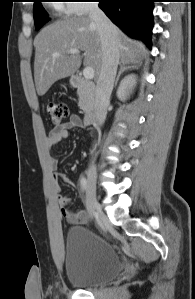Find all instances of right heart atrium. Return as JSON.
<instances>
[{
    "label": "right heart atrium",
    "mask_w": 195,
    "mask_h": 299,
    "mask_svg": "<svg viewBox=\"0 0 195 299\" xmlns=\"http://www.w3.org/2000/svg\"><path fill=\"white\" fill-rule=\"evenodd\" d=\"M91 0H70L63 4L65 5V12L68 14L86 15L91 8Z\"/></svg>",
    "instance_id": "d8ad5b80"
}]
</instances>
